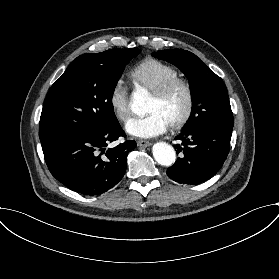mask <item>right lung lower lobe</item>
Returning <instances> with one entry per match:
<instances>
[{
    "instance_id": "right-lung-lower-lobe-1",
    "label": "right lung lower lobe",
    "mask_w": 279,
    "mask_h": 279,
    "mask_svg": "<svg viewBox=\"0 0 279 279\" xmlns=\"http://www.w3.org/2000/svg\"><path fill=\"white\" fill-rule=\"evenodd\" d=\"M124 136L120 124L89 134L62 140L48 150L44 157L49 171L67 188L82 195H99L115 186L124 176L127 155L136 147V142L127 140L107 149L110 142Z\"/></svg>"
}]
</instances>
